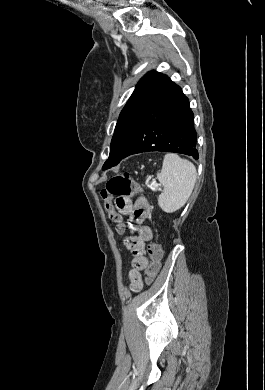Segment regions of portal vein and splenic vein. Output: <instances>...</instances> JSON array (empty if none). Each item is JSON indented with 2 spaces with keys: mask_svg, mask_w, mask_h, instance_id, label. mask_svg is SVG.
Wrapping results in <instances>:
<instances>
[{
  "mask_svg": "<svg viewBox=\"0 0 265 390\" xmlns=\"http://www.w3.org/2000/svg\"><path fill=\"white\" fill-rule=\"evenodd\" d=\"M152 186H153V188L155 189V188H157V187H158V184H157V183H155V182H153V183H152Z\"/></svg>",
  "mask_w": 265,
  "mask_h": 390,
  "instance_id": "portal-vein-and-splenic-vein-1",
  "label": "portal vein and splenic vein"
}]
</instances>
